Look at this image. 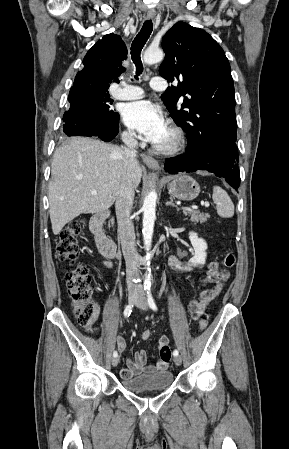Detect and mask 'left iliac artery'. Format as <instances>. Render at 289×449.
<instances>
[{"mask_svg":"<svg viewBox=\"0 0 289 449\" xmlns=\"http://www.w3.org/2000/svg\"><path fill=\"white\" fill-rule=\"evenodd\" d=\"M147 301H148V304H149L150 308L152 310H154V311H157V306H156V304L154 302V299L152 297V293H151L150 289L147 290ZM178 354H179L178 350H174L173 351V355L174 356H178Z\"/></svg>","mask_w":289,"mask_h":449,"instance_id":"left-iliac-artery-1","label":"left iliac artery"}]
</instances>
